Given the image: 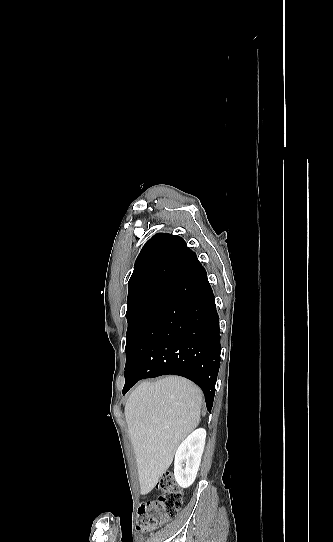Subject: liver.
<instances>
[{"mask_svg":"<svg viewBox=\"0 0 333 542\" xmlns=\"http://www.w3.org/2000/svg\"><path fill=\"white\" fill-rule=\"evenodd\" d=\"M202 392L181 376L142 382L124 414L138 470L141 496L149 494L171 466L181 442L200 422Z\"/></svg>","mask_w":333,"mask_h":542,"instance_id":"liver-1","label":"liver"}]
</instances>
